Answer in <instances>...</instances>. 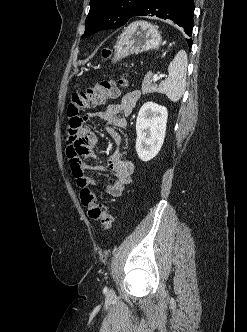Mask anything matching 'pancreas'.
Masks as SVG:
<instances>
[{
	"instance_id": "pancreas-1",
	"label": "pancreas",
	"mask_w": 247,
	"mask_h": 332,
	"mask_svg": "<svg viewBox=\"0 0 247 332\" xmlns=\"http://www.w3.org/2000/svg\"><path fill=\"white\" fill-rule=\"evenodd\" d=\"M152 77H153V73L151 71L148 72L144 77V80H143V83H142V93L144 95L157 91L156 85L152 83V80H153Z\"/></svg>"
}]
</instances>
